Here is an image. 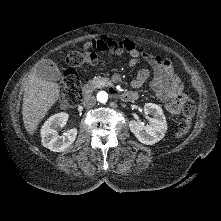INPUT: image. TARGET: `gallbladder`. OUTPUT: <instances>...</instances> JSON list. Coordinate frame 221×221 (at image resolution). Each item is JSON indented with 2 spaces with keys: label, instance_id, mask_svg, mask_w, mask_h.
<instances>
[{
  "label": "gallbladder",
  "instance_id": "1",
  "mask_svg": "<svg viewBox=\"0 0 221 221\" xmlns=\"http://www.w3.org/2000/svg\"><path fill=\"white\" fill-rule=\"evenodd\" d=\"M49 64H52V66H50L48 69L40 67L37 71V76L42 79L51 80V81H57L61 79L62 74L57 68V66L52 62H49Z\"/></svg>",
  "mask_w": 221,
  "mask_h": 221
}]
</instances>
